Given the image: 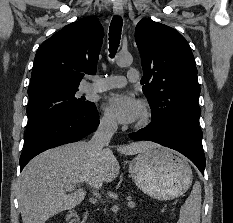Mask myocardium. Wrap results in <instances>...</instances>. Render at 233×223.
<instances>
[{"label": "myocardium", "mask_w": 233, "mask_h": 223, "mask_svg": "<svg viewBox=\"0 0 233 223\" xmlns=\"http://www.w3.org/2000/svg\"><path fill=\"white\" fill-rule=\"evenodd\" d=\"M154 119H155V115L153 110L150 108L149 105L144 104L141 117L135 124V128L139 130H144L154 122Z\"/></svg>", "instance_id": "1"}]
</instances>
